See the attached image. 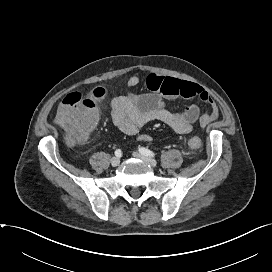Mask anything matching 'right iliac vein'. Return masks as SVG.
<instances>
[{
    "instance_id": "1",
    "label": "right iliac vein",
    "mask_w": 272,
    "mask_h": 272,
    "mask_svg": "<svg viewBox=\"0 0 272 272\" xmlns=\"http://www.w3.org/2000/svg\"><path fill=\"white\" fill-rule=\"evenodd\" d=\"M119 163H120L119 157H113V158L111 159V165H112L113 167L118 166Z\"/></svg>"
}]
</instances>
